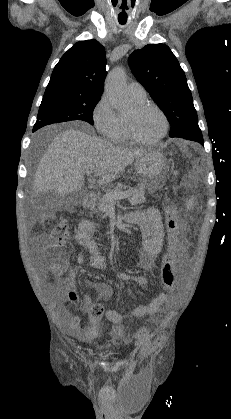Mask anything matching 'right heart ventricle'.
<instances>
[{"label":"right heart ventricle","instance_id":"obj_1","mask_svg":"<svg viewBox=\"0 0 231 419\" xmlns=\"http://www.w3.org/2000/svg\"><path fill=\"white\" fill-rule=\"evenodd\" d=\"M130 97L135 104H140V103H143L145 101V99H138V98H135V97H132V96H130ZM119 117H120V121H121V124H122V135L117 141L122 142V141H125L128 138L127 126H126V117L123 116V115H120Z\"/></svg>","mask_w":231,"mask_h":419}]
</instances>
